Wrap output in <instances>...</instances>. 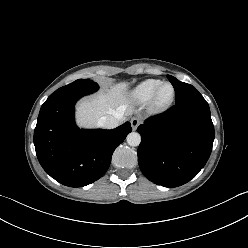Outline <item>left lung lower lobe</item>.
I'll use <instances>...</instances> for the list:
<instances>
[{"label": "left lung lower lobe", "mask_w": 248, "mask_h": 248, "mask_svg": "<svg viewBox=\"0 0 248 248\" xmlns=\"http://www.w3.org/2000/svg\"><path fill=\"white\" fill-rule=\"evenodd\" d=\"M137 131L142 138L140 169L150 181L165 187L194 178L206 164L214 141L210 109L203 97L176 103L145 120Z\"/></svg>", "instance_id": "obj_1"}]
</instances>
